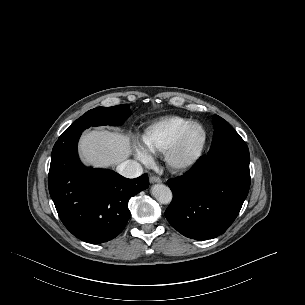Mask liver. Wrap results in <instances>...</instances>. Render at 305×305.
Masks as SVG:
<instances>
[{"label":"liver","mask_w":305,"mask_h":305,"mask_svg":"<svg viewBox=\"0 0 305 305\" xmlns=\"http://www.w3.org/2000/svg\"><path fill=\"white\" fill-rule=\"evenodd\" d=\"M79 153L87 165L93 167L113 166L132 154L130 137L108 130L89 131L81 137Z\"/></svg>","instance_id":"obj_1"}]
</instances>
